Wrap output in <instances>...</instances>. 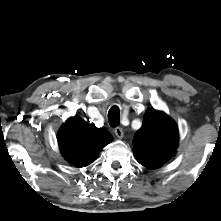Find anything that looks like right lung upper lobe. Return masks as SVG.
<instances>
[{
    "mask_svg": "<svg viewBox=\"0 0 221 221\" xmlns=\"http://www.w3.org/2000/svg\"><path fill=\"white\" fill-rule=\"evenodd\" d=\"M111 141L108 131L88 124L77 116L68 119L58 133L64 158L76 167L92 163L96 154Z\"/></svg>",
    "mask_w": 221,
    "mask_h": 221,
    "instance_id": "obj_1",
    "label": "right lung upper lobe"
}]
</instances>
